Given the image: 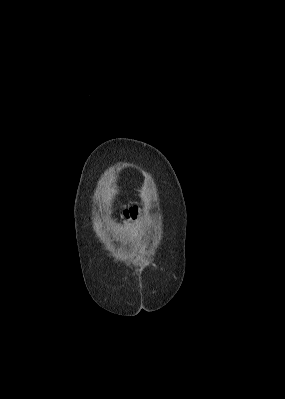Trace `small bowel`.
<instances>
[{
    "label": "small bowel",
    "mask_w": 285,
    "mask_h": 399,
    "mask_svg": "<svg viewBox=\"0 0 285 399\" xmlns=\"http://www.w3.org/2000/svg\"><path fill=\"white\" fill-rule=\"evenodd\" d=\"M135 211L134 210H127V211H125V215H131V214H133Z\"/></svg>",
    "instance_id": "small-bowel-1"
}]
</instances>
